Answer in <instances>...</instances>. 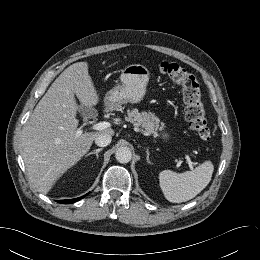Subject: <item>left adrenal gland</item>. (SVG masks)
Here are the masks:
<instances>
[{"mask_svg": "<svg viewBox=\"0 0 260 260\" xmlns=\"http://www.w3.org/2000/svg\"><path fill=\"white\" fill-rule=\"evenodd\" d=\"M146 153H147V157H146L147 162H148V163H151V161H150V159H149V155H150V154H149V150H148V149H147Z\"/></svg>", "mask_w": 260, "mask_h": 260, "instance_id": "1", "label": "left adrenal gland"}]
</instances>
